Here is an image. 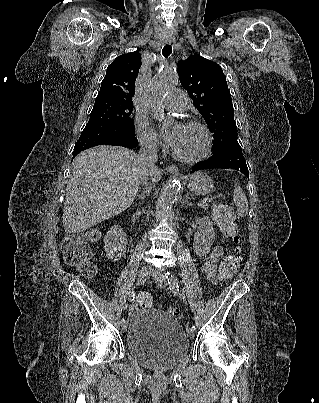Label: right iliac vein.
I'll list each match as a JSON object with an SVG mask.
<instances>
[{
  "instance_id": "right-iliac-vein-1",
  "label": "right iliac vein",
  "mask_w": 319,
  "mask_h": 403,
  "mask_svg": "<svg viewBox=\"0 0 319 403\" xmlns=\"http://www.w3.org/2000/svg\"><path fill=\"white\" fill-rule=\"evenodd\" d=\"M151 270L148 266H143L137 276V284L141 285L142 283H144L148 277V275L150 274ZM121 330L122 332H126L127 330V322H123L121 325Z\"/></svg>"
}]
</instances>
